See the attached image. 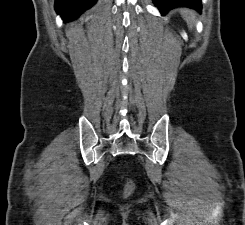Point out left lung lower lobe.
<instances>
[{
    "mask_svg": "<svg viewBox=\"0 0 245 225\" xmlns=\"http://www.w3.org/2000/svg\"><path fill=\"white\" fill-rule=\"evenodd\" d=\"M153 3L159 8L162 14H166L175 7H189L201 11V0H153Z\"/></svg>",
    "mask_w": 245,
    "mask_h": 225,
    "instance_id": "left-lung-lower-lobe-1",
    "label": "left lung lower lobe"
}]
</instances>
